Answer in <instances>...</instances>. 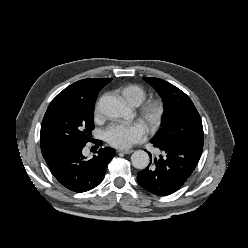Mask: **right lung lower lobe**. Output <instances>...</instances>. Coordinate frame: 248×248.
Here are the masks:
<instances>
[{"mask_svg":"<svg viewBox=\"0 0 248 248\" xmlns=\"http://www.w3.org/2000/svg\"><path fill=\"white\" fill-rule=\"evenodd\" d=\"M94 142L102 145V141ZM85 145L82 142L69 144L45 158L54 177L64 187L78 193L89 191L102 182L106 168L116 154L114 149L106 147L100 148L93 158L86 159L82 154Z\"/></svg>","mask_w":248,"mask_h":248,"instance_id":"98d812e1","label":"right lung lower lobe"}]
</instances>
